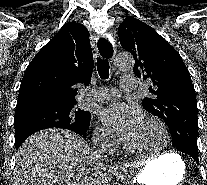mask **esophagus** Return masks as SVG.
Listing matches in <instances>:
<instances>
[{
	"instance_id": "esophagus-1",
	"label": "esophagus",
	"mask_w": 207,
	"mask_h": 185,
	"mask_svg": "<svg viewBox=\"0 0 207 185\" xmlns=\"http://www.w3.org/2000/svg\"><path fill=\"white\" fill-rule=\"evenodd\" d=\"M108 38L109 33H98V36L95 38V45H93V49L96 53H98V47L114 48V43H108ZM101 55H114V50H101ZM103 61H110V56H103Z\"/></svg>"
}]
</instances>
